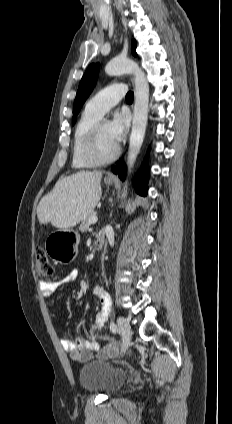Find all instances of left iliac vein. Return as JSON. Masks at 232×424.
<instances>
[{"mask_svg":"<svg viewBox=\"0 0 232 424\" xmlns=\"http://www.w3.org/2000/svg\"><path fill=\"white\" fill-rule=\"evenodd\" d=\"M120 334L123 339V352L128 348L130 340H131V328L129 321L124 317H119L117 320Z\"/></svg>","mask_w":232,"mask_h":424,"instance_id":"obj_1","label":"left iliac vein"}]
</instances>
